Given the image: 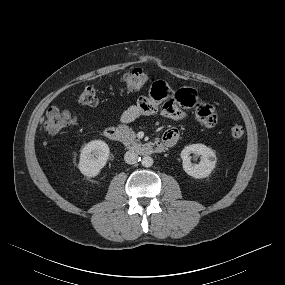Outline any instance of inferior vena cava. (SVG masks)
<instances>
[{
    "mask_svg": "<svg viewBox=\"0 0 285 285\" xmlns=\"http://www.w3.org/2000/svg\"><path fill=\"white\" fill-rule=\"evenodd\" d=\"M124 160L127 164H135L138 160V155L134 151H127Z\"/></svg>",
    "mask_w": 285,
    "mask_h": 285,
    "instance_id": "inferior-vena-cava-1",
    "label": "inferior vena cava"
}]
</instances>
